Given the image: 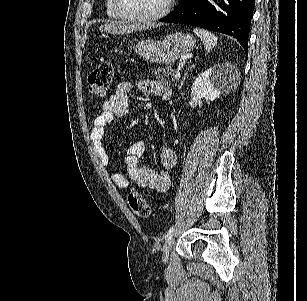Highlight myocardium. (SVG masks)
Masks as SVG:
<instances>
[{"instance_id":"1","label":"myocardium","mask_w":307,"mask_h":301,"mask_svg":"<svg viewBox=\"0 0 307 301\" xmlns=\"http://www.w3.org/2000/svg\"><path fill=\"white\" fill-rule=\"evenodd\" d=\"M112 2L113 14L119 17L120 22H157L158 18L165 17L173 0H165L166 3L160 11L120 10L123 8V0H112Z\"/></svg>"}]
</instances>
